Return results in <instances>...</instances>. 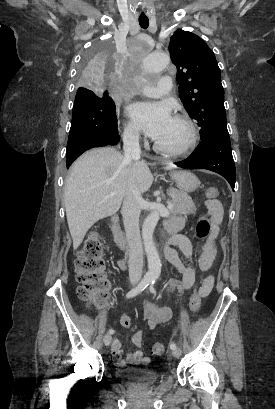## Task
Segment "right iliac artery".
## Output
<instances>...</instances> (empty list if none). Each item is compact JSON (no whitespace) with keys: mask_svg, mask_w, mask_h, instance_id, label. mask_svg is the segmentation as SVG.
Returning a JSON list of instances; mask_svg holds the SVG:
<instances>
[{"mask_svg":"<svg viewBox=\"0 0 275 409\" xmlns=\"http://www.w3.org/2000/svg\"><path fill=\"white\" fill-rule=\"evenodd\" d=\"M151 278L149 276L144 277L141 282L132 290H130L127 294H126V298H132L138 294H140L146 287H148V285L151 282ZM113 330H109L110 334H113Z\"/></svg>","mask_w":275,"mask_h":409,"instance_id":"82829eb1","label":"right iliac artery"}]
</instances>
